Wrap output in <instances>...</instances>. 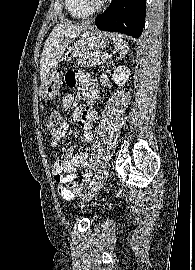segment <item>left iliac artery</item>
Segmentation results:
<instances>
[{
    "label": "left iliac artery",
    "instance_id": "1",
    "mask_svg": "<svg viewBox=\"0 0 195 270\" xmlns=\"http://www.w3.org/2000/svg\"><path fill=\"white\" fill-rule=\"evenodd\" d=\"M95 177H97V175H95ZM96 182V179L93 178L92 181L90 182L89 186H88V189L91 188Z\"/></svg>",
    "mask_w": 195,
    "mask_h": 270
}]
</instances>
